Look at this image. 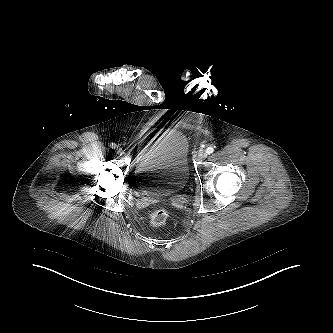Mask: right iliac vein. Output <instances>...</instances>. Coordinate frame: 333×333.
<instances>
[{
    "instance_id": "1",
    "label": "right iliac vein",
    "mask_w": 333,
    "mask_h": 333,
    "mask_svg": "<svg viewBox=\"0 0 333 333\" xmlns=\"http://www.w3.org/2000/svg\"><path fill=\"white\" fill-rule=\"evenodd\" d=\"M116 153H122L121 147H116Z\"/></svg>"
}]
</instances>
